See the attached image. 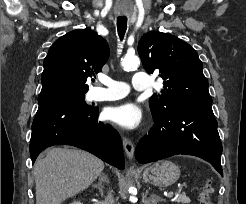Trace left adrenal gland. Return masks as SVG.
<instances>
[{
	"mask_svg": "<svg viewBox=\"0 0 246 204\" xmlns=\"http://www.w3.org/2000/svg\"><path fill=\"white\" fill-rule=\"evenodd\" d=\"M153 203L157 202V201H163V199L157 195H153ZM145 204H149L148 201L145 199Z\"/></svg>",
	"mask_w": 246,
	"mask_h": 204,
	"instance_id": "a2214340",
	"label": "left adrenal gland"
}]
</instances>
